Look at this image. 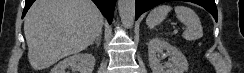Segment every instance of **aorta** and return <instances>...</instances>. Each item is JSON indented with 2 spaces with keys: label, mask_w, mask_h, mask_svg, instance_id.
Segmentation results:
<instances>
[{
  "label": "aorta",
  "mask_w": 244,
  "mask_h": 73,
  "mask_svg": "<svg viewBox=\"0 0 244 73\" xmlns=\"http://www.w3.org/2000/svg\"><path fill=\"white\" fill-rule=\"evenodd\" d=\"M118 11L123 25L131 27L135 19V0H118Z\"/></svg>",
  "instance_id": "obj_1"
}]
</instances>
